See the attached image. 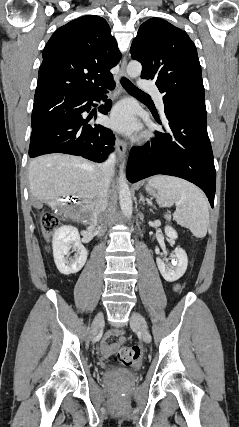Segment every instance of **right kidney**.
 <instances>
[{
  "label": "right kidney",
  "instance_id": "1",
  "mask_svg": "<svg viewBox=\"0 0 239 427\" xmlns=\"http://www.w3.org/2000/svg\"><path fill=\"white\" fill-rule=\"evenodd\" d=\"M53 256L57 269L64 275L75 274L85 265L87 250L81 244L80 235L76 227L62 226L54 232ZM76 251L72 259H68L69 251Z\"/></svg>",
  "mask_w": 239,
  "mask_h": 427
}]
</instances>
